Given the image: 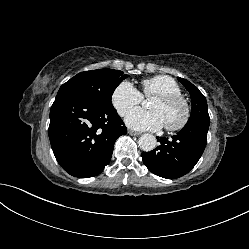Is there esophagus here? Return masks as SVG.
<instances>
[{"mask_svg": "<svg viewBox=\"0 0 249 249\" xmlns=\"http://www.w3.org/2000/svg\"><path fill=\"white\" fill-rule=\"evenodd\" d=\"M128 134L132 135V136H138V135H140V133L132 131V130H128Z\"/></svg>", "mask_w": 249, "mask_h": 249, "instance_id": "1", "label": "esophagus"}]
</instances>
